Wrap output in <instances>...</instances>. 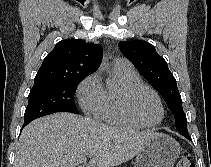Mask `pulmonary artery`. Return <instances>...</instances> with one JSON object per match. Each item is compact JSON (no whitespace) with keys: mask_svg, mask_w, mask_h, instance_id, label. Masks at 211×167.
I'll list each match as a JSON object with an SVG mask.
<instances>
[{"mask_svg":"<svg viewBox=\"0 0 211 167\" xmlns=\"http://www.w3.org/2000/svg\"><path fill=\"white\" fill-rule=\"evenodd\" d=\"M113 66L115 69L120 70H134L132 63L125 58H117L114 61Z\"/></svg>","mask_w":211,"mask_h":167,"instance_id":"pulmonary-artery-1","label":"pulmonary artery"}]
</instances>
